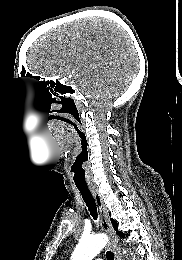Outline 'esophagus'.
<instances>
[{
    "instance_id": "esophagus-1",
    "label": "esophagus",
    "mask_w": 182,
    "mask_h": 260,
    "mask_svg": "<svg viewBox=\"0 0 182 260\" xmlns=\"http://www.w3.org/2000/svg\"><path fill=\"white\" fill-rule=\"evenodd\" d=\"M91 192L93 194V197L97 205L99 220H100V225L102 227V230L105 231L107 235L110 237L109 246L112 248L114 252L115 260H121L120 251L117 247V236L108 218L107 210L103 203V200L96 189L91 188Z\"/></svg>"
}]
</instances>
